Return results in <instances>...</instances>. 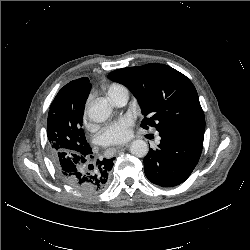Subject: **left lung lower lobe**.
<instances>
[{
	"label": "left lung lower lobe",
	"mask_w": 250,
	"mask_h": 250,
	"mask_svg": "<svg viewBox=\"0 0 250 250\" xmlns=\"http://www.w3.org/2000/svg\"><path fill=\"white\" fill-rule=\"evenodd\" d=\"M159 135L160 144L144 158L145 175L156 185L174 187L186 181L197 165L204 130H168Z\"/></svg>",
	"instance_id": "1"
}]
</instances>
